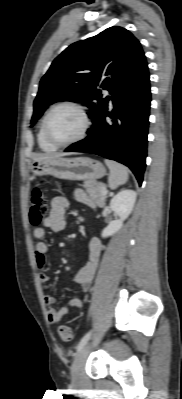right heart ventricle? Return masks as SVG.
Segmentation results:
<instances>
[{"label":"right heart ventricle","instance_id":"1","mask_svg":"<svg viewBox=\"0 0 182 399\" xmlns=\"http://www.w3.org/2000/svg\"><path fill=\"white\" fill-rule=\"evenodd\" d=\"M45 118V117H44ZM44 118L42 119L40 126H39V130H38V134H37V141L39 144V147L45 151V152H52L55 151L57 147L53 146L52 144H50L45 136H44V132H43V122H44Z\"/></svg>","mask_w":182,"mask_h":399}]
</instances>
